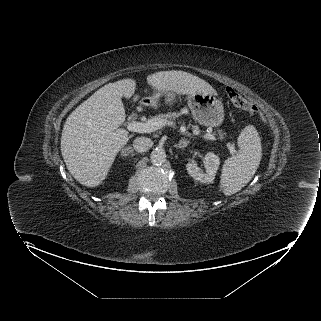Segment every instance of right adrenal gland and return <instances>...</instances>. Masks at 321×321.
I'll use <instances>...</instances> for the list:
<instances>
[{"instance_id":"right-adrenal-gland-1","label":"right adrenal gland","mask_w":321,"mask_h":321,"mask_svg":"<svg viewBox=\"0 0 321 321\" xmlns=\"http://www.w3.org/2000/svg\"><path fill=\"white\" fill-rule=\"evenodd\" d=\"M122 155L123 156H127V155H129V154H131V156H134L135 155V153H134V150L132 149V147H126V148H124V149H122Z\"/></svg>"}]
</instances>
